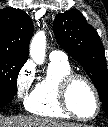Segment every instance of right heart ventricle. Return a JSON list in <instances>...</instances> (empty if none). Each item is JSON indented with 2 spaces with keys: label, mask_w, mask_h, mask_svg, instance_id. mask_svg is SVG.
Masks as SVG:
<instances>
[{
  "label": "right heart ventricle",
  "mask_w": 108,
  "mask_h": 127,
  "mask_svg": "<svg viewBox=\"0 0 108 127\" xmlns=\"http://www.w3.org/2000/svg\"><path fill=\"white\" fill-rule=\"evenodd\" d=\"M71 72L67 61L51 60L46 75L37 82L26 101L29 112L44 117L70 118L60 104L59 86L61 80Z\"/></svg>",
  "instance_id": "1"
}]
</instances>
